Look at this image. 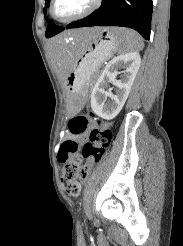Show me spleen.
Wrapping results in <instances>:
<instances>
[{"mask_svg": "<svg viewBox=\"0 0 183 246\" xmlns=\"http://www.w3.org/2000/svg\"><path fill=\"white\" fill-rule=\"evenodd\" d=\"M120 37L122 39V46L120 52H128L133 50H141L144 43L140 35L133 30L123 28ZM96 53L93 54L95 56ZM90 63L89 57L86 56L80 63L81 69H84Z\"/></svg>", "mask_w": 183, "mask_h": 246, "instance_id": "3e777b00", "label": "spleen"}]
</instances>
